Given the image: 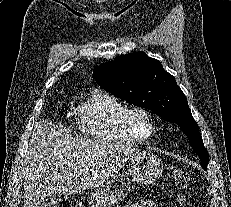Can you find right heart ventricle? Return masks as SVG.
<instances>
[{"label":"right heart ventricle","instance_id":"obj_1","mask_svg":"<svg viewBox=\"0 0 231 207\" xmlns=\"http://www.w3.org/2000/svg\"><path fill=\"white\" fill-rule=\"evenodd\" d=\"M127 106L115 96L95 90L72 109L77 130L85 137L103 142L137 143L126 130L123 113Z\"/></svg>","mask_w":231,"mask_h":207}]
</instances>
